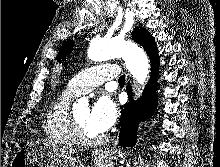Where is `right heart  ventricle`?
Instances as JSON below:
<instances>
[{"instance_id": "e07e8e85", "label": "right heart ventricle", "mask_w": 220, "mask_h": 167, "mask_svg": "<svg viewBox=\"0 0 220 167\" xmlns=\"http://www.w3.org/2000/svg\"><path fill=\"white\" fill-rule=\"evenodd\" d=\"M75 96L66 89L55 95L48 104L43 129L45 135L58 145L75 144L70 128V103Z\"/></svg>"}]
</instances>
